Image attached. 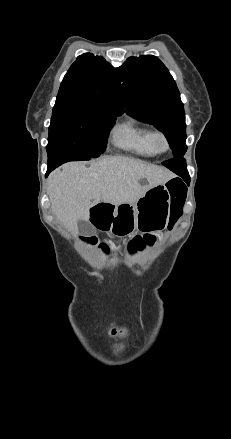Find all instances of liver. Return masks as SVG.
<instances>
[{"mask_svg":"<svg viewBox=\"0 0 231 439\" xmlns=\"http://www.w3.org/2000/svg\"><path fill=\"white\" fill-rule=\"evenodd\" d=\"M174 176L164 167L123 156L105 158L89 167L69 162L49 177L51 210L72 234H77L78 221H86L89 209L96 204H135L147 190ZM141 179L148 184L141 185Z\"/></svg>","mask_w":231,"mask_h":439,"instance_id":"obj_1","label":"liver"}]
</instances>
